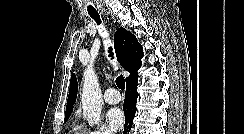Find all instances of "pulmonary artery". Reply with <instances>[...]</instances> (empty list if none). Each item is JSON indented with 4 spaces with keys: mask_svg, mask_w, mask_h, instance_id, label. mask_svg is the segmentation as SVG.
<instances>
[{
    "mask_svg": "<svg viewBox=\"0 0 244 134\" xmlns=\"http://www.w3.org/2000/svg\"><path fill=\"white\" fill-rule=\"evenodd\" d=\"M104 100L108 104H117L120 102L121 97L115 88H109L104 93Z\"/></svg>",
    "mask_w": 244,
    "mask_h": 134,
    "instance_id": "e3ab8cb5",
    "label": "pulmonary artery"
}]
</instances>
